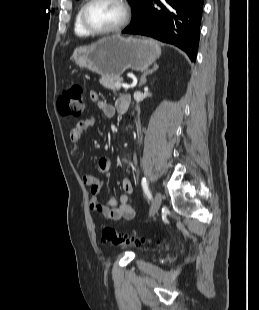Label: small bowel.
<instances>
[{"label": "small bowel", "mask_w": 259, "mask_h": 310, "mask_svg": "<svg viewBox=\"0 0 259 310\" xmlns=\"http://www.w3.org/2000/svg\"><path fill=\"white\" fill-rule=\"evenodd\" d=\"M90 98L92 102L97 104L98 108L106 117H114L117 106L101 101L97 92H91ZM94 123L95 118L91 116L79 121L77 125L71 129L69 137L72 143V158H77L78 144L84 132L93 126ZM98 169L101 173H109L112 170L111 160L106 157L100 158L98 160ZM83 182L86 186L91 188L90 209L94 213L100 214L112 221H119L122 219L132 220L135 217V209L129 201V195L133 191V186L129 179H123L121 182L123 194L119 198L114 195L108 196L104 204L99 201V194L103 189L102 182L89 173L83 176Z\"/></svg>", "instance_id": "small-bowel-1"}]
</instances>
